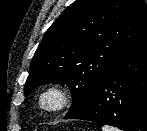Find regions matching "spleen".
Returning <instances> with one entry per match:
<instances>
[{
	"label": "spleen",
	"instance_id": "1",
	"mask_svg": "<svg viewBox=\"0 0 147 131\" xmlns=\"http://www.w3.org/2000/svg\"><path fill=\"white\" fill-rule=\"evenodd\" d=\"M102 131H119V130L113 126L104 125L102 127Z\"/></svg>",
	"mask_w": 147,
	"mask_h": 131
}]
</instances>
